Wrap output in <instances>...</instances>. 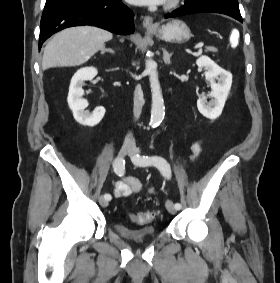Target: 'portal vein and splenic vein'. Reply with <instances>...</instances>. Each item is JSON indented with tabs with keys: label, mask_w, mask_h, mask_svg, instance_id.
<instances>
[{
	"label": "portal vein and splenic vein",
	"mask_w": 280,
	"mask_h": 283,
	"mask_svg": "<svg viewBox=\"0 0 280 283\" xmlns=\"http://www.w3.org/2000/svg\"><path fill=\"white\" fill-rule=\"evenodd\" d=\"M203 45H204L203 42H200L199 44L196 45L195 48H201V47H203Z\"/></svg>",
	"instance_id": "obj_1"
}]
</instances>
